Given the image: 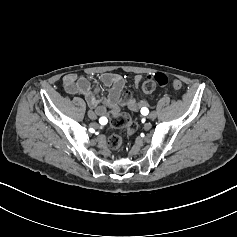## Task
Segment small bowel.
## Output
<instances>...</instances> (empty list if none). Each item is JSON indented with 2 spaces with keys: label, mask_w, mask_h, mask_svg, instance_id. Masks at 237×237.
Here are the masks:
<instances>
[{
  "label": "small bowel",
  "mask_w": 237,
  "mask_h": 237,
  "mask_svg": "<svg viewBox=\"0 0 237 237\" xmlns=\"http://www.w3.org/2000/svg\"><path fill=\"white\" fill-rule=\"evenodd\" d=\"M101 83L109 88L106 97H100V86L96 83H91L83 76L77 74H67L63 77V87L70 95H82L86 98L91 112L97 116H105L116 110L120 104L127 105L132 110H138L145 101H138L130 97L127 93L122 95L124 80L115 73H104L100 77ZM141 81V76L137 75L134 78V83L137 85ZM173 87L179 88L180 82L173 81Z\"/></svg>",
  "instance_id": "c3829d8e"
}]
</instances>
